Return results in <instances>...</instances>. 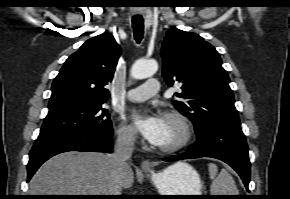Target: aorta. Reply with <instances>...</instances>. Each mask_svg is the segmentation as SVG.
Segmentation results:
<instances>
[{
  "label": "aorta",
  "instance_id": "obj_1",
  "mask_svg": "<svg viewBox=\"0 0 290 199\" xmlns=\"http://www.w3.org/2000/svg\"><path fill=\"white\" fill-rule=\"evenodd\" d=\"M158 70L155 60H138L131 68V76L134 79H145L153 76Z\"/></svg>",
  "mask_w": 290,
  "mask_h": 199
}]
</instances>
